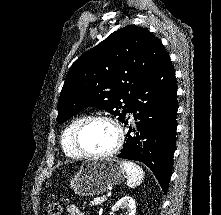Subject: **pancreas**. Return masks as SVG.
Wrapping results in <instances>:
<instances>
[{"instance_id": "pancreas-1", "label": "pancreas", "mask_w": 221, "mask_h": 215, "mask_svg": "<svg viewBox=\"0 0 221 215\" xmlns=\"http://www.w3.org/2000/svg\"><path fill=\"white\" fill-rule=\"evenodd\" d=\"M105 201H106V198L97 197V198H94L93 200L90 201V205L91 206H98V205H101Z\"/></svg>"}]
</instances>
